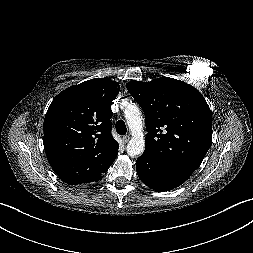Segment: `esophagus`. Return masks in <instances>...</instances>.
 <instances>
[{"label": "esophagus", "instance_id": "obj_1", "mask_svg": "<svg viewBox=\"0 0 253 253\" xmlns=\"http://www.w3.org/2000/svg\"><path fill=\"white\" fill-rule=\"evenodd\" d=\"M122 140H123V142L126 144V143L129 142L130 137H129L128 135H125V136L122 137Z\"/></svg>", "mask_w": 253, "mask_h": 253}]
</instances>
